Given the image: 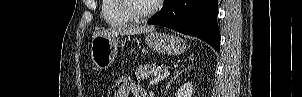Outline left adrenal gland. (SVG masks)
<instances>
[{"label": "left adrenal gland", "mask_w": 302, "mask_h": 97, "mask_svg": "<svg viewBox=\"0 0 302 97\" xmlns=\"http://www.w3.org/2000/svg\"><path fill=\"white\" fill-rule=\"evenodd\" d=\"M192 59V57H189L188 58V60H191ZM186 70V69H185ZM184 70V71H185ZM184 71H178L177 73H175L174 75H173V77L169 80V82L167 83V85H166V91H167V89L170 87V85H171V83L175 80V79H177L178 78V76H180V75H182V73L184 72Z\"/></svg>", "instance_id": "left-adrenal-gland-1"}]
</instances>
